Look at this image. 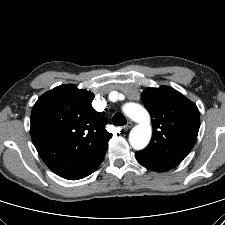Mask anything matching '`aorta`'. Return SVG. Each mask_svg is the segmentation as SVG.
<instances>
[{
	"label": "aorta",
	"mask_w": 225,
	"mask_h": 225,
	"mask_svg": "<svg viewBox=\"0 0 225 225\" xmlns=\"http://www.w3.org/2000/svg\"><path fill=\"white\" fill-rule=\"evenodd\" d=\"M123 111L129 118L138 123L130 131V145L136 150L144 149L148 145L152 135L149 113L145 108L136 103L124 105Z\"/></svg>",
	"instance_id": "aorta-1"
}]
</instances>
